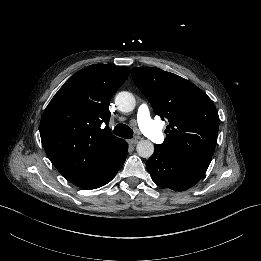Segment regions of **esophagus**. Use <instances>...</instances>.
Instances as JSON below:
<instances>
[{
    "instance_id": "obj_1",
    "label": "esophagus",
    "mask_w": 261,
    "mask_h": 261,
    "mask_svg": "<svg viewBox=\"0 0 261 261\" xmlns=\"http://www.w3.org/2000/svg\"><path fill=\"white\" fill-rule=\"evenodd\" d=\"M129 144H136L138 142V139H130L127 141Z\"/></svg>"
}]
</instances>
